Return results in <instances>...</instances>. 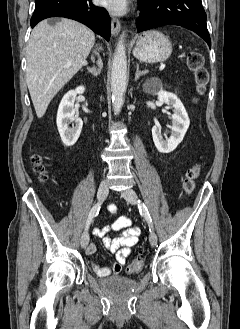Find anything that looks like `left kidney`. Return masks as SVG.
Here are the masks:
<instances>
[{"instance_id": "1", "label": "left kidney", "mask_w": 240, "mask_h": 329, "mask_svg": "<svg viewBox=\"0 0 240 329\" xmlns=\"http://www.w3.org/2000/svg\"><path fill=\"white\" fill-rule=\"evenodd\" d=\"M144 91L148 94L157 95L161 103H166L173 108L171 135L168 139H164L157 126L152 128L153 142L157 150L161 153H170L176 149L179 143L182 142L187 129L189 128L190 119L185 110L184 105L178 97L169 93L162 88V83L157 78H152L146 81L143 85Z\"/></svg>"}]
</instances>
